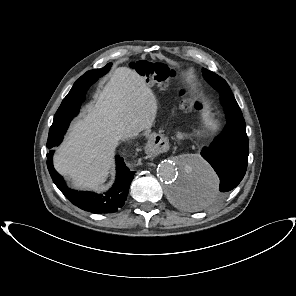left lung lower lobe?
<instances>
[{
	"label": "left lung lower lobe",
	"instance_id": "0a47b994",
	"mask_svg": "<svg viewBox=\"0 0 296 296\" xmlns=\"http://www.w3.org/2000/svg\"><path fill=\"white\" fill-rule=\"evenodd\" d=\"M221 103L227 124L211 145L201 151V156L220 178L219 190L211 194L201 193L185 177L178 186L176 199L182 201L184 208L201 209L220 200L241 182L246 173L249 145L242 112L234 97L221 98Z\"/></svg>",
	"mask_w": 296,
	"mask_h": 296
}]
</instances>
